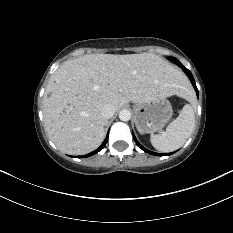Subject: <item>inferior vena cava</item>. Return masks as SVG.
<instances>
[{
  "instance_id": "602c4592",
  "label": "inferior vena cava",
  "mask_w": 233,
  "mask_h": 233,
  "mask_svg": "<svg viewBox=\"0 0 233 233\" xmlns=\"http://www.w3.org/2000/svg\"><path fill=\"white\" fill-rule=\"evenodd\" d=\"M114 113L115 107L112 104H105L101 109V115L106 119H110Z\"/></svg>"
}]
</instances>
